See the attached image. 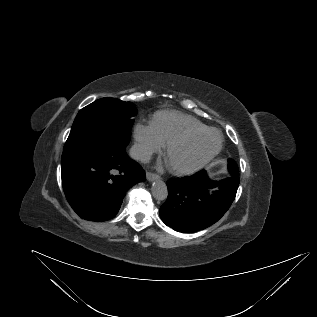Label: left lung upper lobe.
<instances>
[{
	"mask_svg": "<svg viewBox=\"0 0 317 317\" xmlns=\"http://www.w3.org/2000/svg\"><path fill=\"white\" fill-rule=\"evenodd\" d=\"M228 162H229V165H228L229 170L235 173H238V167L235 161L232 159H228Z\"/></svg>",
	"mask_w": 317,
	"mask_h": 317,
	"instance_id": "5c2ea615",
	"label": "left lung upper lobe"
}]
</instances>
